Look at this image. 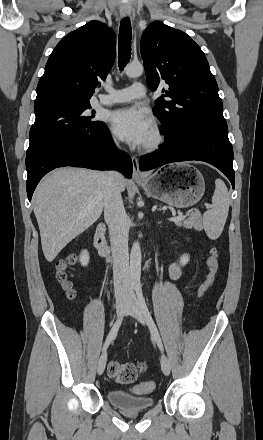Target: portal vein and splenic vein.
I'll list each match as a JSON object with an SVG mask.
<instances>
[{
  "mask_svg": "<svg viewBox=\"0 0 263 440\" xmlns=\"http://www.w3.org/2000/svg\"><path fill=\"white\" fill-rule=\"evenodd\" d=\"M205 206H206L207 208L210 207L209 204H205ZM185 217H186V216H185L184 214H179L178 216H175V217L169 218L168 220L171 221V222H180V221L184 220Z\"/></svg>",
  "mask_w": 263,
  "mask_h": 440,
  "instance_id": "portal-vein-and-splenic-vein-1",
  "label": "portal vein and splenic vein"
}]
</instances>
